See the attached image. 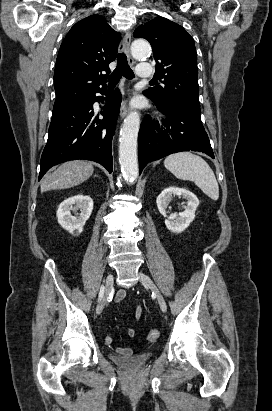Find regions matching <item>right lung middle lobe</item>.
<instances>
[{
	"instance_id": "obj_1",
	"label": "right lung middle lobe",
	"mask_w": 272,
	"mask_h": 411,
	"mask_svg": "<svg viewBox=\"0 0 272 411\" xmlns=\"http://www.w3.org/2000/svg\"><path fill=\"white\" fill-rule=\"evenodd\" d=\"M81 100H83V99H72V100L67 101V102H64V103L54 104L53 112H54V111L61 110V109H64V108H66V107H68V106H71V105H73V104L81 101Z\"/></svg>"
}]
</instances>
